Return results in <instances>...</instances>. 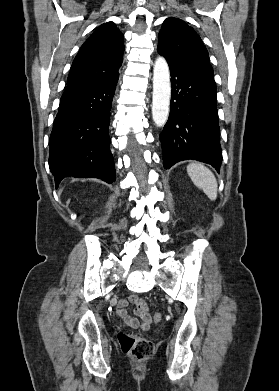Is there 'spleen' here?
I'll use <instances>...</instances> for the list:
<instances>
[{
  "instance_id": "obj_1",
  "label": "spleen",
  "mask_w": 279,
  "mask_h": 391,
  "mask_svg": "<svg viewBox=\"0 0 279 391\" xmlns=\"http://www.w3.org/2000/svg\"><path fill=\"white\" fill-rule=\"evenodd\" d=\"M187 173L192 182L212 201L217 198V180L210 169L200 163H191L187 166Z\"/></svg>"
}]
</instances>
